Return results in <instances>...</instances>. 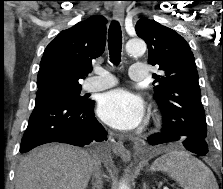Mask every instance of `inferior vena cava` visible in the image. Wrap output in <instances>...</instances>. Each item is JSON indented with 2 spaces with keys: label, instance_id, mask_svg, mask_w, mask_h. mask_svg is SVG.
Returning <instances> with one entry per match:
<instances>
[{
  "label": "inferior vena cava",
  "instance_id": "1",
  "mask_svg": "<svg viewBox=\"0 0 223 189\" xmlns=\"http://www.w3.org/2000/svg\"><path fill=\"white\" fill-rule=\"evenodd\" d=\"M94 175L96 178L100 179L99 176H100V169H99V161L97 160H94Z\"/></svg>",
  "mask_w": 223,
  "mask_h": 189
}]
</instances>
